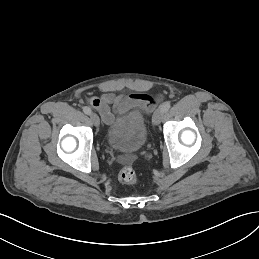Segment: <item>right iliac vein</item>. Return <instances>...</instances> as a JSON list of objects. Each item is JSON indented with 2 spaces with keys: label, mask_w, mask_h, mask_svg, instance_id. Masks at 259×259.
<instances>
[{
  "label": "right iliac vein",
  "mask_w": 259,
  "mask_h": 259,
  "mask_svg": "<svg viewBox=\"0 0 259 259\" xmlns=\"http://www.w3.org/2000/svg\"><path fill=\"white\" fill-rule=\"evenodd\" d=\"M90 119L95 126H99L100 120L96 113H90Z\"/></svg>",
  "instance_id": "obj_1"
}]
</instances>
